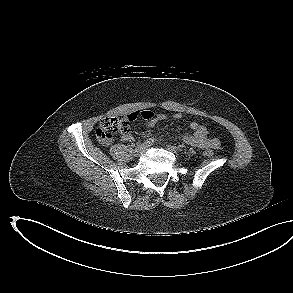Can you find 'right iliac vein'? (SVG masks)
<instances>
[{
    "label": "right iliac vein",
    "instance_id": "right-iliac-vein-1",
    "mask_svg": "<svg viewBox=\"0 0 293 293\" xmlns=\"http://www.w3.org/2000/svg\"><path fill=\"white\" fill-rule=\"evenodd\" d=\"M147 146L145 145H139L135 150H134V155L135 156H140L145 150H146Z\"/></svg>",
    "mask_w": 293,
    "mask_h": 293
}]
</instances>
